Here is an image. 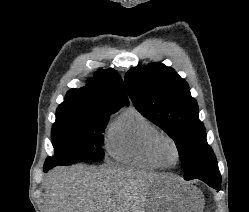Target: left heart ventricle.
<instances>
[{
  "label": "left heart ventricle",
  "instance_id": "1",
  "mask_svg": "<svg viewBox=\"0 0 249 212\" xmlns=\"http://www.w3.org/2000/svg\"><path fill=\"white\" fill-rule=\"evenodd\" d=\"M159 152L161 157L169 163H175L176 162V153L172 145L164 141L159 146Z\"/></svg>",
  "mask_w": 249,
  "mask_h": 212
}]
</instances>
